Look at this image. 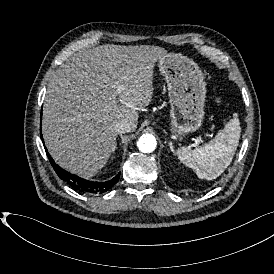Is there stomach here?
<instances>
[{"instance_id":"0dacf381","label":"stomach","mask_w":274,"mask_h":274,"mask_svg":"<svg viewBox=\"0 0 274 274\" xmlns=\"http://www.w3.org/2000/svg\"><path fill=\"white\" fill-rule=\"evenodd\" d=\"M159 63L168 84L169 131L181 140L198 131L204 123L207 93L205 76L193 60L181 54H170Z\"/></svg>"}]
</instances>
